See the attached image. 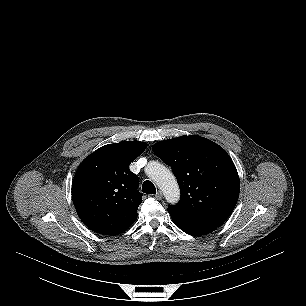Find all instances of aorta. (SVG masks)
Returning a JSON list of instances; mask_svg holds the SVG:
<instances>
[{"label":"aorta","instance_id":"1","mask_svg":"<svg viewBox=\"0 0 306 306\" xmlns=\"http://www.w3.org/2000/svg\"><path fill=\"white\" fill-rule=\"evenodd\" d=\"M146 173L162 190L167 202L176 204L180 198V189L173 173L163 164L151 161L146 167Z\"/></svg>","mask_w":306,"mask_h":306}]
</instances>
